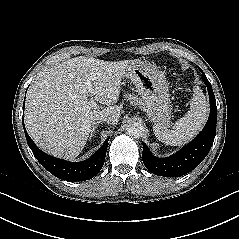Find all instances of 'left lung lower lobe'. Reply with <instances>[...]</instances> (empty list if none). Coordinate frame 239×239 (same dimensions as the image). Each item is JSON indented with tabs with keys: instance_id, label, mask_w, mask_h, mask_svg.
I'll list each match as a JSON object with an SVG mask.
<instances>
[{
	"instance_id": "obj_1",
	"label": "left lung lower lobe",
	"mask_w": 239,
	"mask_h": 239,
	"mask_svg": "<svg viewBox=\"0 0 239 239\" xmlns=\"http://www.w3.org/2000/svg\"><path fill=\"white\" fill-rule=\"evenodd\" d=\"M207 86L210 99V115L200 134L170 157H154L147 145L143 143L142 159L146 168L153 174L164 177H178L195 169L209 153L216 135L217 107L212 86L203 80Z\"/></svg>"
}]
</instances>
